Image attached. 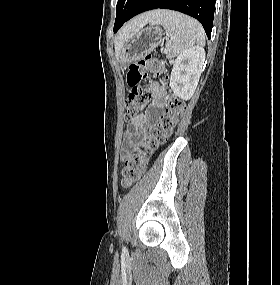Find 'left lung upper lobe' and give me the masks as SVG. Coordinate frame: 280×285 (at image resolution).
<instances>
[{
    "label": "left lung upper lobe",
    "instance_id": "left-lung-upper-lobe-1",
    "mask_svg": "<svg viewBox=\"0 0 280 285\" xmlns=\"http://www.w3.org/2000/svg\"><path fill=\"white\" fill-rule=\"evenodd\" d=\"M137 2L138 0H118L116 6V19L114 24V30L119 26H122L124 22L128 20V17Z\"/></svg>",
    "mask_w": 280,
    "mask_h": 285
}]
</instances>
